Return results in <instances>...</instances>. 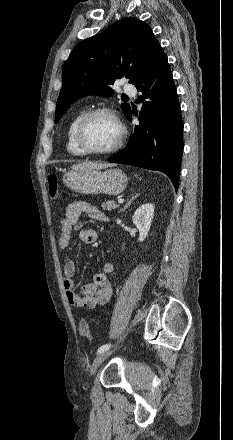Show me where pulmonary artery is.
Listing matches in <instances>:
<instances>
[{
    "label": "pulmonary artery",
    "instance_id": "1",
    "mask_svg": "<svg viewBox=\"0 0 233 440\" xmlns=\"http://www.w3.org/2000/svg\"><path fill=\"white\" fill-rule=\"evenodd\" d=\"M124 90L126 93H129L131 95H135L137 93L136 88L130 84L125 85Z\"/></svg>",
    "mask_w": 233,
    "mask_h": 440
}]
</instances>
